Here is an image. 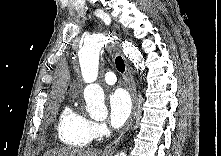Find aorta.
Listing matches in <instances>:
<instances>
[{"label": "aorta", "instance_id": "aorta-1", "mask_svg": "<svg viewBox=\"0 0 221 156\" xmlns=\"http://www.w3.org/2000/svg\"><path fill=\"white\" fill-rule=\"evenodd\" d=\"M113 37L110 34L96 33L86 38L79 51V60L84 82L87 86L84 89L86 111L93 119L101 120L106 118L108 112L105 106L104 91L98 84L94 83L98 77L99 53L101 49L110 44ZM124 54L130 59L137 69H145L144 59L137 47L130 42H124ZM119 156H127L121 152Z\"/></svg>", "mask_w": 221, "mask_h": 156}]
</instances>
